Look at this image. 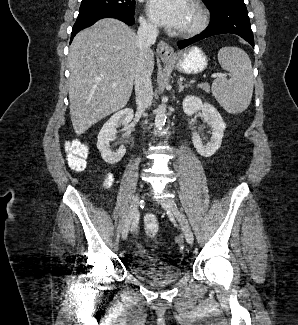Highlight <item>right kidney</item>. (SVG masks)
Segmentation results:
<instances>
[{"label":"right kidney","mask_w":298,"mask_h":325,"mask_svg":"<svg viewBox=\"0 0 298 325\" xmlns=\"http://www.w3.org/2000/svg\"><path fill=\"white\" fill-rule=\"evenodd\" d=\"M134 116L133 108H123V110H118L115 114L110 116L109 120L103 124L99 134L97 136V148L101 152V156L105 163L108 165H114V163H119V160L123 158L126 148L125 146H119L117 150H112L110 148V140H114L117 134V128L122 124V126H127L131 122Z\"/></svg>","instance_id":"obj_1"}]
</instances>
